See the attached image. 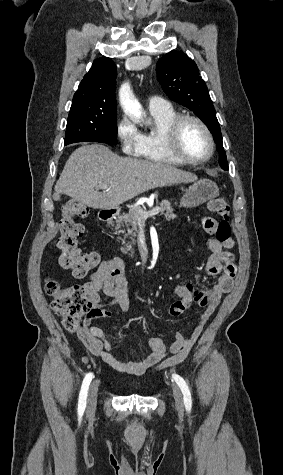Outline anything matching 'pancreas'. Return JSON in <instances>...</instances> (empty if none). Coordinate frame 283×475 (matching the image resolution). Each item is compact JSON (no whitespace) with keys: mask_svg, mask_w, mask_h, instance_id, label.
Returning a JSON list of instances; mask_svg holds the SVG:
<instances>
[{"mask_svg":"<svg viewBox=\"0 0 283 475\" xmlns=\"http://www.w3.org/2000/svg\"><path fill=\"white\" fill-rule=\"evenodd\" d=\"M156 208H160V212H165L164 216H166V220H168V222L176 218L175 214H173L174 210L169 200L157 202ZM142 212H144L143 208H141V206H137V208H132V210H129L128 214H122V216H118L115 230H120V228L126 226L128 232L127 236H132V238H135L136 232H138V222H140V220H146V218H143ZM133 241H135V239H133ZM120 249L121 251H124V253H127V251H130V249H133V247L132 245H126V247H120Z\"/></svg>","mask_w":283,"mask_h":475,"instance_id":"1","label":"pancreas"}]
</instances>
